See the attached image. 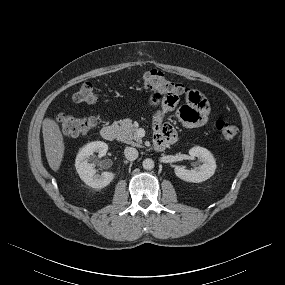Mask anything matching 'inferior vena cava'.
<instances>
[{"label":"inferior vena cava","instance_id":"inferior-vena-cava-1","mask_svg":"<svg viewBox=\"0 0 285 285\" xmlns=\"http://www.w3.org/2000/svg\"><path fill=\"white\" fill-rule=\"evenodd\" d=\"M124 155L129 161H134L138 158V151L133 147H126Z\"/></svg>","mask_w":285,"mask_h":285}]
</instances>
